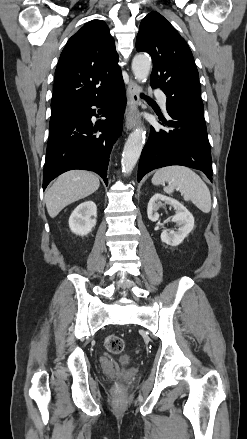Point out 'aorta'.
<instances>
[{"label": "aorta", "instance_id": "aorta-1", "mask_svg": "<svg viewBox=\"0 0 247 439\" xmlns=\"http://www.w3.org/2000/svg\"><path fill=\"white\" fill-rule=\"evenodd\" d=\"M151 69V58L145 54H138L133 58L132 71L138 82H145ZM146 131L142 127L136 128L128 137L122 154L121 165L125 174H130L135 167L144 143Z\"/></svg>", "mask_w": 247, "mask_h": 439}]
</instances>
